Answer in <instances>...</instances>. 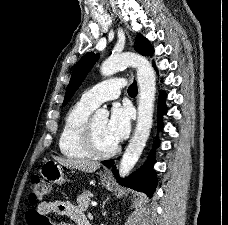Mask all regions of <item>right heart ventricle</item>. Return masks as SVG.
Returning a JSON list of instances; mask_svg holds the SVG:
<instances>
[{
  "mask_svg": "<svg viewBox=\"0 0 228 225\" xmlns=\"http://www.w3.org/2000/svg\"><path fill=\"white\" fill-rule=\"evenodd\" d=\"M94 109L80 99L68 110L58 141L63 156L78 159L93 157L83 144V131Z\"/></svg>",
  "mask_w": 228,
  "mask_h": 225,
  "instance_id": "e07e8e85",
  "label": "right heart ventricle"
}]
</instances>
